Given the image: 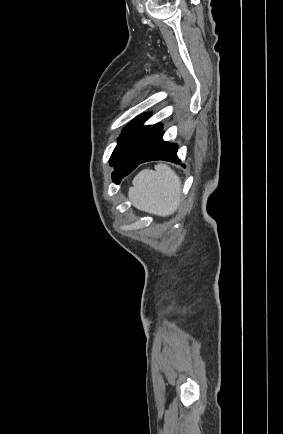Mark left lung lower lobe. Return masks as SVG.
Wrapping results in <instances>:
<instances>
[{"mask_svg":"<svg viewBox=\"0 0 283 434\" xmlns=\"http://www.w3.org/2000/svg\"><path fill=\"white\" fill-rule=\"evenodd\" d=\"M162 136L163 132H160L142 157L115 166V171L112 173L113 180L119 183L123 177L131 173L139 164L147 161L164 160L173 163L179 162L180 160L177 157V144L164 141Z\"/></svg>","mask_w":283,"mask_h":434,"instance_id":"obj_1","label":"left lung lower lobe"}]
</instances>
